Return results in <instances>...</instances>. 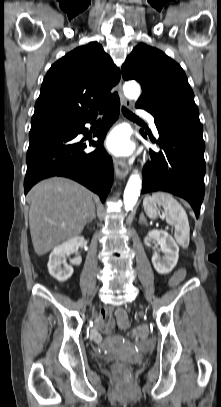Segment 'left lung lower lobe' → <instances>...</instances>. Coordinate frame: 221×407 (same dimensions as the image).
Here are the masks:
<instances>
[{
	"instance_id": "0a47b994",
	"label": "left lung lower lobe",
	"mask_w": 221,
	"mask_h": 407,
	"mask_svg": "<svg viewBox=\"0 0 221 407\" xmlns=\"http://www.w3.org/2000/svg\"><path fill=\"white\" fill-rule=\"evenodd\" d=\"M154 119L160 151L151 150V162L143 169L142 193L167 191L180 196L191 204L198 218L206 170L199 113L180 111ZM151 141L156 143L153 138Z\"/></svg>"
}]
</instances>
